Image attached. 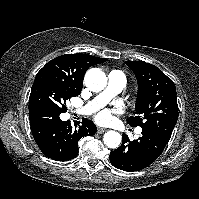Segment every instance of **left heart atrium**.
Instances as JSON below:
<instances>
[{
  "mask_svg": "<svg viewBox=\"0 0 199 199\" xmlns=\"http://www.w3.org/2000/svg\"><path fill=\"white\" fill-rule=\"evenodd\" d=\"M95 119L99 123H105L110 120V113L107 110H102L95 116Z\"/></svg>",
  "mask_w": 199,
  "mask_h": 199,
  "instance_id": "obj_1",
  "label": "left heart atrium"
}]
</instances>
